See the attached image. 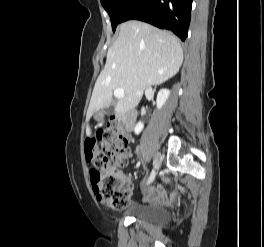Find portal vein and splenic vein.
<instances>
[{
    "label": "portal vein and splenic vein",
    "instance_id": "1",
    "mask_svg": "<svg viewBox=\"0 0 264 247\" xmlns=\"http://www.w3.org/2000/svg\"><path fill=\"white\" fill-rule=\"evenodd\" d=\"M114 96L117 99H122L125 96L124 90L122 88L114 89Z\"/></svg>",
    "mask_w": 264,
    "mask_h": 247
}]
</instances>
